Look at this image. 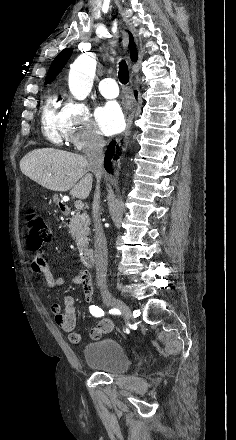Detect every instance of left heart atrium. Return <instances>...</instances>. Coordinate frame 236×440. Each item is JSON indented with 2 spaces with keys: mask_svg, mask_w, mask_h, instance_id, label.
I'll list each match as a JSON object with an SVG mask.
<instances>
[{
  "mask_svg": "<svg viewBox=\"0 0 236 440\" xmlns=\"http://www.w3.org/2000/svg\"><path fill=\"white\" fill-rule=\"evenodd\" d=\"M97 123L102 133L112 135L120 131L124 123L120 106L115 102H108L97 110Z\"/></svg>",
  "mask_w": 236,
  "mask_h": 440,
  "instance_id": "obj_1",
  "label": "left heart atrium"
}]
</instances>
